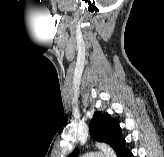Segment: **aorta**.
<instances>
[{
	"mask_svg": "<svg viewBox=\"0 0 164 157\" xmlns=\"http://www.w3.org/2000/svg\"><path fill=\"white\" fill-rule=\"evenodd\" d=\"M96 147L104 153L105 157H115L116 156L115 151L106 143H96Z\"/></svg>",
	"mask_w": 164,
	"mask_h": 157,
	"instance_id": "obj_1",
	"label": "aorta"
}]
</instances>
